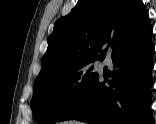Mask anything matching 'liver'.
Masks as SVG:
<instances>
[{"instance_id":"obj_1","label":"liver","mask_w":156,"mask_h":124,"mask_svg":"<svg viewBox=\"0 0 156 124\" xmlns=\"http://www.w3.org/2000/svg\"><path fill=\"white\" fill-rule=\"evenodd\" d=\"M67 124H81V123L76 122V121H73V122H69V123H67Z\"/></svg>"}]
</instances>
